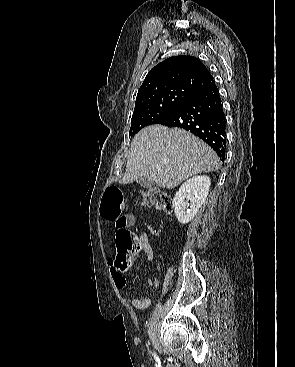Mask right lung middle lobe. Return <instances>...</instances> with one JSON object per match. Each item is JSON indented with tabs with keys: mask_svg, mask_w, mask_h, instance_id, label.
<instances>
[{
	"mask_svg": "<svg viewBox=\"0 0 295 367\" xmlns=\"http://www.w3.org/2000/svg\"><path fill=\"white\" fill-rule=\"evenodd\" d=\"M192 93L184 88H173L136 100L130 136L148 125L157 124L170 115Z\"/></svg>",
	"mask_w": 295,
	"mask_h": 367,
	"instance_id": "obj_1",
	"label": "right lung middle lobe"
}]
</instances>
